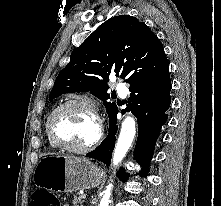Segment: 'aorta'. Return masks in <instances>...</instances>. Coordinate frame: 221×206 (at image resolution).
Returning <instances> with one entry per match:
<instances>
[{
	"label": "aorta",
	"mask_w": 221,
	"mask_h": 206,
	"mask_svg": "<svg viewBox=\"0 0 221 206\" xmlns=\"http://www.w3.org/2000/svg\"><path fill=\"white\" fill-rule=\"evenodd\" d=\"M135 133H136L135 119L131 116H127L122 123L119 138L114 149L112 157L113 167H116L125 157L127 151L131 147ZM111 189H112V184H109L106 190L104 191V195L99 203V206H109Z\"/></svg>",
	"instance_id": "1"
}]
</instances>
